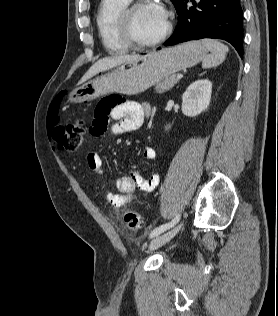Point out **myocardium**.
Returning a JSON list of instances; mask_svg holds the SVG:
<instances>
[{
	"label": "myocardium",
	"mask_w": 278,
	"mask_h": 316,
	"mask_svg": "<svg viewBox=\"0 0 278 316\" xmlns=\"http://www.w3.org/2000/svg\"><path fill=\"white\" fill-rule=\"evenodd\" d=\"M148 3V0H137L136 2L129 4L120 14L119 26L121 34L126 43L136 49H145L155 47L161 44L171 33L172 23L170 20H166V26L164 31L154 40L144 42L140 41L133 31V13L135 10Z\"/></svg>",
	"instance_id": "1"
}]
</instances>
